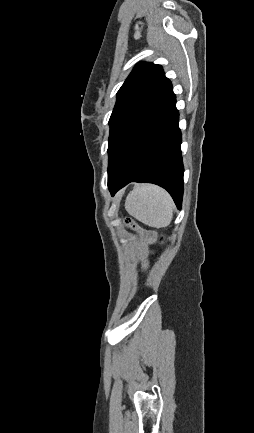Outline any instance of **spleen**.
Instances as JSON below:
<instances>
[{
    "mask_svg": "<svg viewBox=\"0 0 254 433\" xmlns=\"http://www.w3.org/2000/svg\"><path fill=\"white\" fill-rule=\"evenodd\" d=\"M125 208L140 222L150 227L162 228L171 223L174 202L164 189L152 184H143L128 194Z\"/></svg>",
    "mask_w": 254,
    "mask_h": 433,
    "instance_id": "obj_1",
    "label": "spleen"
}]
</instances>
